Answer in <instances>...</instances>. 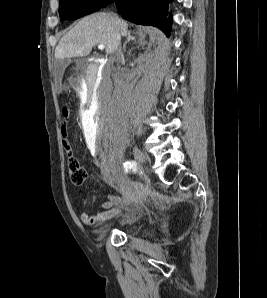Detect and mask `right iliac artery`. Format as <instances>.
Listing matches in <instances>:
<instances>
[{"mask_svg":"<svg viewBox=\"0 0 267 298\" xmlns=\"http://www.w3.org/2000/svg\"><path fill=\"white\" fill-rule=\"evenodd\" d=\"M128 164H129V163H128ZM133 164L135 165V162H133V163H132V165H133ZM126 165H127V163H126ZM126 168H129V169H131V163H130L129 165H127V167H126Z\"/></svg>","mask_w":267,"mask_h":298,"instance_id":"82829eb1","label":"right iliac artery"}]
</instances>
